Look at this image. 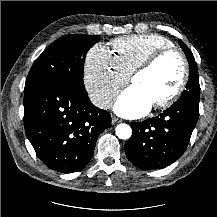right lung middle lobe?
Wrapping results in <instances>:
<instances>
[{"label": "right lung middle lobe", "instance_id": "1", "mask_svg": "<svg viewBox=\"0 0 217 217\" xmlns=\"http://www.w3.org/2000/svg\"><path fill=\"white\" fill-rule=\"evenodd\" d=\"M99 36L73 34L63 36L48 46L35 60L27 76L25 89L49 81H64L85 90L83 61Z\"/></svg>", "mask_w": 217, "mask_h": 217}]
</instances>
